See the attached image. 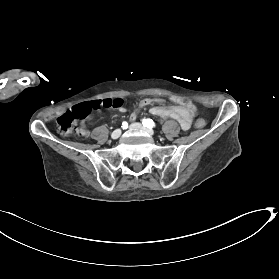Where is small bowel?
I'll use <instances>...</instances> for the list:
<instances>
[{
	"mask_svg": "<svg viewBox=\"0 0 279 279\" xmlns=\"http://www.w3.org/2000/svg\"><path fill=\"white\" fill-rule=\"evenodd\" d=\"M173 106H162L163 100L160 98H145L141 100L135 110L130 114V120L135 121L138 111L146 106L154 105L150 108V113L159 117H170L178 121L183 130H188L192 124V114L180 103L178 97H173ZM120 112H125L123 106L118 107ZM78 133L82 136H88L89 131L86 128L85 121L79 127Z\"/></svg>",
	"mask_w": 279,
	"mask_h": 279,
	"instance_id": "1",
	"label": "small bowel"
}]
</instances>
